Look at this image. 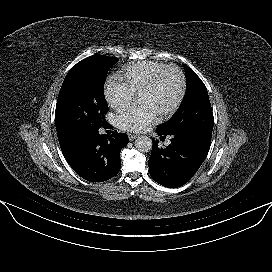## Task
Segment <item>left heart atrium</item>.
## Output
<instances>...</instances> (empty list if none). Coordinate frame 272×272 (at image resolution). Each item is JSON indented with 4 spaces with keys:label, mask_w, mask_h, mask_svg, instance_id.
Instances as JSON below:
<instances>
[{
    "label": "left heart atrium",
    "mask_w": 272,
    "mask_h": 272,
    "mask_svg": "<svg viewBox=\"0 0 272 272\" xmlns=\"http://www.w3.org/2000/svg\"><path fill=\"white\" fill-rule=\"evenodd\" d=\"M159 114L148 104L132 105L119 113L116 125L125 131L142 132L157 122Z\"/></svg>",
    "instance_id": "left-heart-atrium-1"
}]
</instances>
